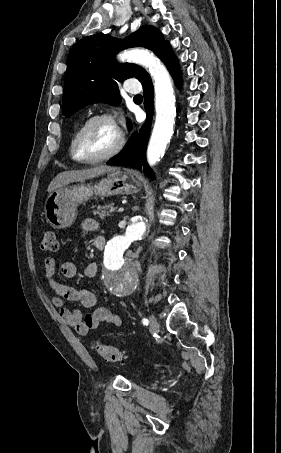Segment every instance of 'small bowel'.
Segmentation results:
<instances>
[{
    "label": "small bowel",
    "instance_id": "1",
    "mask_svg": "<svg viewBox=\"0 0 281 453\" xmlns=\"http://www.w3.org/2000/svg\"><path fill=\"white\" fill-rule=\"evenodd\" d=\"M81 233L83 235L96 232L98 230V223L93 219H86L81 223ZM103 238H96V250H103ZM55 258L48 257L45 260L44 268L42 270L43 282L58 295L52 298V304L58 309L62 319L80 336H87L90 331L96 329L101 322H108L112 325L119 326L122 324V318L114 311L104 308L94 309L87 316L83 317L78 309H70L66 307L65 300L73 303H79L83 307L92 308L95 305V295L85 287L74 288L69 285L60 283L56 279L54 272ZM98 271L96 262L88 263L84 270L83 276L86 279L92 278ZM61 275L64 278L72 279L78 275L77 267L74 262H64L61 265Z\"/></svg>",
    "mask_w": 281,
    "mask_h": 453
}]
</instances>
